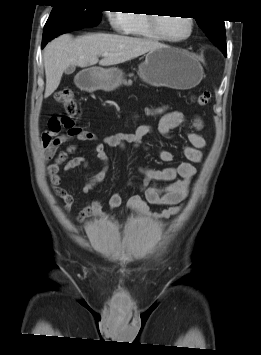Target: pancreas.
Here are the masks:
<instances>
[{
  "mask_svg": "<svg viewBox=\"0 0 261 355\" xmlns=\"http://www.w3.org/2000/svg\"><path fill=\"white\" fill-rule=\"evenodd\" d=\"M129 76L131 77V76H133V74H130ZM124 84H125V85H128V86H129V85H132V81H131V80L124 81Z\"/></svg>",
  "mask_w": 261,
  "mask_h": 355,
  "instance_id": "cf45deb5",
  "label": "pancreas"
}]
</instances>
